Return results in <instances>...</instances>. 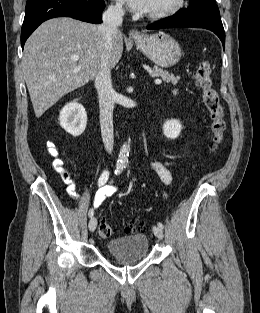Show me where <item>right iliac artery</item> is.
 I'll return each instance as SVG.
<instances>
[{"mask_svg":"<svg viewBox=\"0 0 260 313\" xmlns=\"http://www.w3.org/2000/svg\"><path fill=\"white\" fill-rule=\"evenodd\" d=\"M123 168H124L123 165H117V168H116V170H115V174H116V175H119V174L122 172ZM93 214H94L93 209H90V210H89V213H88L89 217H92Z\"/></svg>","mask_w":260,"mask_h":313,"instance_id":"right-iliac-artery-1","label":"right iliac artery"}]
</instances>
